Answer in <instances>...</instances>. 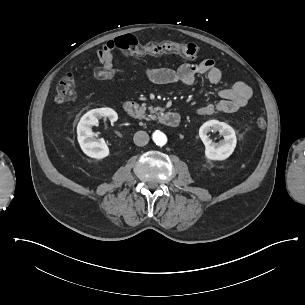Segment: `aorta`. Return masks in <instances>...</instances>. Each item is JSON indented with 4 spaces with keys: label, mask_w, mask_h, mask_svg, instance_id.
<instances>
[{
    "label": "aorta",
    "mask_w": 305,
    "mask_h": 305,
    "mask_svg": "<svg viewBox=\"0 0 305 305\" xmlns=\"http://www.w3.org/2000/svg\"><path fill=\"white\" fill-rule=\"evenodd\" d=\"M153 141L159 145V146H163L166 144L167 142V137L164 133H162L161 131H156L153 133Z\"/></svg>",
    "instance_id": "aorta-1"
}]
</instances>
